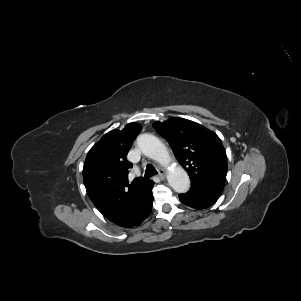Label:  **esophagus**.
<instances>
[{"label": "esophagus", "instance_id": "1", "mask_svg": "<svg viewBox=\"0 0 301 301\" xmlns=\"http://www.w3.org/2000/svg\"><path fill=\"white\" fill-rule=\"evenodd\" d=\"M158 177L160 179H164L165 178V171L163 169L159 170Z\"/></svg>", "mask_w": 301, "mask_h": 301}]
</instances>
